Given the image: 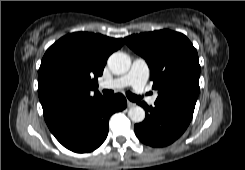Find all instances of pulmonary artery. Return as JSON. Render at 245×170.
<instances>
[{
  "label": "pulmonary artery",
  "instance_id": "pulmonary-artery-1",
  "mask_svg": "<svg viewBox=\"0 0 245 170\" xmlns=\"http://www.w3.org/2000/svg\"><path fill=\"white\" fill-rule=\"evenodd\" d=\"M149 76V66L147 62L142 58H136L133 61L131 69L129 72L119 78L103 81L100 86L104 89H116L123 88L126 86H132L134 90L140 94L141 97L145 98L147 96L145 90V84ZM157 96H151L147 99L150 105H154Z\"/></svg>",
  "mask_w": 245,
  "mask_h": 170
}]
</instances>
